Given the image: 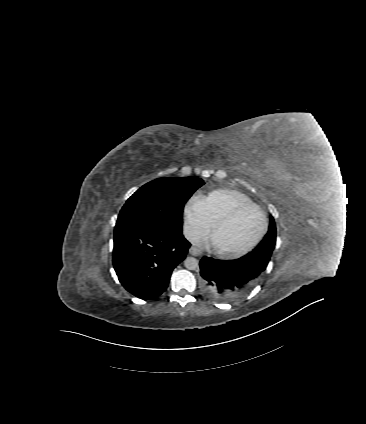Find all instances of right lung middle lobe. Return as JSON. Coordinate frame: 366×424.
Wrapping results in <instances>:
<instances>
[{
  "mask_svg": "<svg viewBox=\"0 0 366 424\" xmlns=\"http://www.w3.org/2000/svg\"><path fill=\"white\" fill-rule=\"evenodd\" d=\"M203 184L197 177L153 180L127 200L116 226L153 224L171 233L181 232L184 204Z\"/></svg>",
  "mask_w": 366,
  "mask_h": 424,
  "instance_id": "dd1d6c3e",
  "label": "right lung middle lobe"
}]
</instances>
